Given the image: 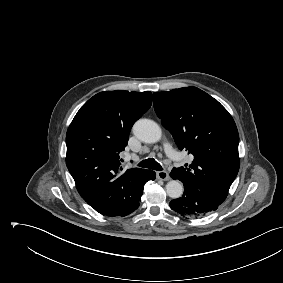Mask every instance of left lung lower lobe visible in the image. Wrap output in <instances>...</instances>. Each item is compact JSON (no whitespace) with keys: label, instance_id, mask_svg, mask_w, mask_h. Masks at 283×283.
Here are the masks:
<instances>
[{"label":"left lung lower lobe","instance_id":"0a47b994","mask_svg":"<svg viewBox=\"0 0 283 283\" xmlns=\"http://www.w3.org/2000/svg\"><path fill=\"white\" fill-rule=\"evenodd\" d=\"M172 179H176L170 173ZM184 194L170 202V207L185 218H198L208 215L219 207V203L195 187L184 185Z\"/></svg>","mask_w":283,"mask_h":283}]
</instances>
